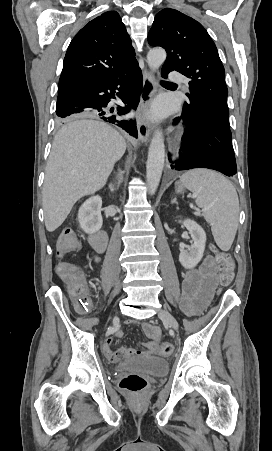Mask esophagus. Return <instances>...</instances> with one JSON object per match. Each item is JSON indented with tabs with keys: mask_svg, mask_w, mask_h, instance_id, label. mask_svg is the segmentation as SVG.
<instances>
[{
	"mask_svg": "<svg viewBox=\"0 0 272 451\" xmlns=\"http://www.w3.org/2000/svg\"><path fill=\"white\" fill-rule=\"evenodd\" d=\"M156 79L154 74L145 70L143 73L142 92L140 102L137 107V128L138 136L141 142H148L152 128L150 121L147 118V113L150 109L151 101L156 92Z\"/></svg>",
	"mask_w": 272,
	"mask_h": 451,
	"instance_id": "1",
	"label": "esophagus"
}]
</instances>
